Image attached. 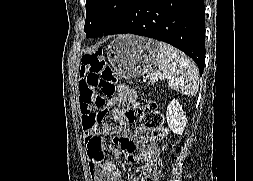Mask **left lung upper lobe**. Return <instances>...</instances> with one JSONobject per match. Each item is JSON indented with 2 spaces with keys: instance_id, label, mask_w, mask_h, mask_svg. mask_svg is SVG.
<instances>
[{
  "instance_id": "obj_1",
  "label": "left lung upper lobe",
  "mask_w": 253,
  "mask_h": 181,
  "mask_svg": "<svg viewBox=\"0 0 253 181\" xmlns=\"http://www.w3.org/2000/svg\"><path fill=\"white\" fill-rule=\"evenodd\" d=\"M132 0H86V36L93 38L113 26Z\"/></svg>"
}]
</instances>
